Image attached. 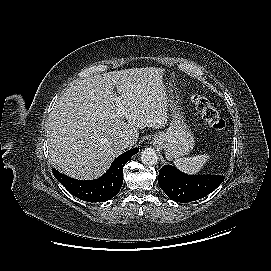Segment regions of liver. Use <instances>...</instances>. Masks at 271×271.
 <instances>
[{
	"instance_id": "liver-1",
	"label": "liver",
	"mask_w": 271,
	"mask_h": 271,
	"mask_svg": "<svg viewBox=\"0 0 271 271\" xmlns=\"http://www.w3.org/2000/svg\"><path fill=\"white\" fill-rule=\"evenodd\" d=\"M164 73L155 67L125 69L97 74L67 87L47 123L54 166L73 178H98L124 149L118 144L121 136H130L135 144L139 129L165 127L168 99ZM119 108L121 117L117 116Z\"/></svg>"
}]
</instances>
